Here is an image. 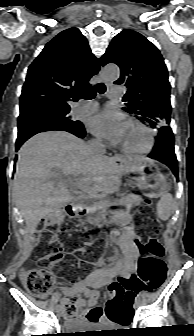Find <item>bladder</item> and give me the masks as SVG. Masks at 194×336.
Masks as SVG:
<instances>
[{
	"label": "bladder",
	"mask_w": 194,
	"mask_h": 336,
	"mask_svg": "<svg viewBox=\"0 0 194 336\" xmlns=\"http://www.w3.org/2000/svg\"><path fill=\"white\" fill-rule=\"evenodd\" d=\"M65 326H69V330L71 331L86 329V324L79 320H70Z\"/></svg>",
	"instance_id": "31cf9c89"
}]
</instances>
